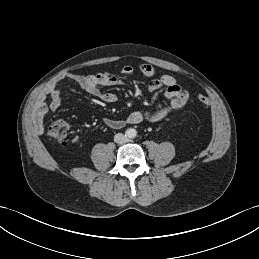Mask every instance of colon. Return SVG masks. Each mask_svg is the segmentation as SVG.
I'll use <instances>...</instances> for the list:
<instances>
[{"instance_id": "obj_1", "label": "colon", "mask_w": 259, "mask_h": 259, "mask_svg": "<svg viewBox=\"0 0 259 259\" xmlns=\"http://www.w3.org/2000/svg\"><path fill=\"white\" fill-rule=\"evenodd\" d=\"M198 101L205 109L209 108V100L205 96H199ZM70 125L65 121H56L48 127V135L58 142L66 145L70 142Z\"/></svg>"}]
</instances>
